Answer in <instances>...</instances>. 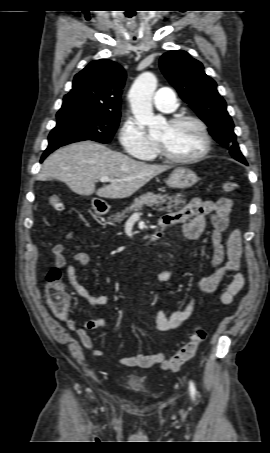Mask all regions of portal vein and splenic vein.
Masks as SVG:
<instances>
[{"label": "portal vein and splenic vein", "mask_w": 270, "mask_h": 453, "mask_svg": "<svg viewBox=\"0 0 270 453\" xmlns=\"http://www.w3.org/2000/svg\"><path fill=\"white\" fill-rule=\"evenodd\" d=\"M100 181L101 182H113L114 180L109 177L103 176L100 178ZM135 215H138V213H135Z\"/></svg>", "instance_id": "portal-vein-and-splenic-vein-1"}]
</instances>
